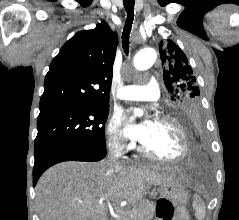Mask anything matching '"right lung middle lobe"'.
Returning a JSON list of instances; mask_svg holds the SVG:
<instances>
[{
  "instance_id": "right-lung-middle-lobe-1",
  "label": "right lung middle lobe",
  "mask_w": 239,
  "mask_h": 220,
  "mask_svg": "<svg viewBox=\"0 0 239 220\" xmlns=\"http://www.w3.org/2000/svg\"><path fill=\"white\" fill-rule=\"evenodd\" d=\"M108 106H85L40 111L35 151L55 145L106 148Z\"/></svg>"
}]
</instances>
